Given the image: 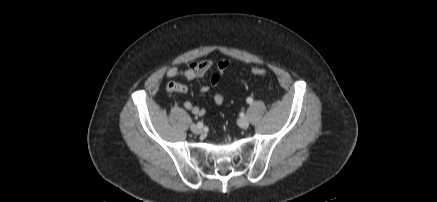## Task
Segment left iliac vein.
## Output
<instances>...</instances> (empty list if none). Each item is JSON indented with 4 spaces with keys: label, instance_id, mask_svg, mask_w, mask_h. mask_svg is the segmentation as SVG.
Masks as SVG:
<instances>
[{
    "label": "left iliac vein",
    "instance_id": "obj_1",
    "mask_svg": "<svg viewBox=\"0 0 437 202\" xmlns=\"http://www.w3.org/2000/svg\"><path fill=\"white\" fill-rule=\"evenodd\" d=\"M238 126L242 129H247L249 126V120L246 117H242L238 120Z\"/></svg>",
    "mask_w": 437,
    "mask_h": 202
}]
</instances>
